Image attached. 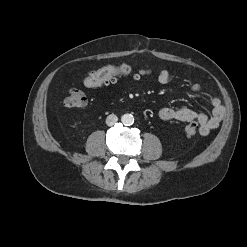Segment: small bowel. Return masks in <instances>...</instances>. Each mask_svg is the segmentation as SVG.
<instances>
[{
  "label": "small bowel",
  "instance_id": "c3829d8e",
  "mask_svg": "<svg viewBox=\"0 0 247 247\" xmlns=\"http://www.w3.org/2000/svg\"><path fill=\"white\" fill-rule=\"evenodd\" d=\"M157 80L160 84L167 85L171 81V76L168 71L161 70L157 74ZM200 90L201 87L199 84L194 83L191 85V91L193 93H199ZM209 103L212 107L210 116L186 107H164L159 110L158 116L162 120H177L181 122L195 123L199 128V133L206 136L219 126L225 114V108L222 105L220 98L217 96H211L209 98Z\"/></svg>",
  "mask_w": 247,
  "mask_h": 247
}]
</instances>
